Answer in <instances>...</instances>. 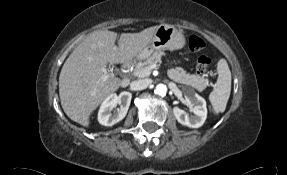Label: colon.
I'll list each match as a JSON object with an SVG mask.
<instances>
[{"instance_id":"colon-1","label":"colon","mask_w":287,"mask_h":175,"mask_svg":"<svg viewBox=\"0 0 287 175\" xmlns=\"http://www.w3.org/2000/svg\"><path fill=\"white\" fill-rule=\"evenodd\" d=\"M188 47L193 52H201L206 48L205 41L197 36L192 35L188 40ZM211 59L207 55H201L198 58L196 70L198 74L205 75L210 69Z\"/></svg>"}]
</instances>
